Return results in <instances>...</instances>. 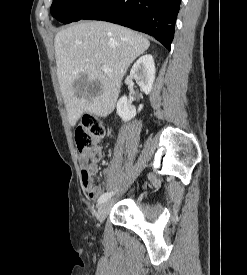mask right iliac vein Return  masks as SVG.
<instances>
[{
  "instance_id": "right-iliac-vein-1",
  "label": "right iliac vein",
  "mask_w": 247,
  "mask_h": 275,
  "mask_svg": "<svg viewBox=\"0 0 247 275\" xmlns=\"http://www.w3.org/2000/svg\"><path fill=\"white\" fill-rule=\"evenodd\" d=\"M110 210V201H105L98 207V212H97V218L100 223H102L106 216L108 215Z\"/></svg>"
}]
</instances>
